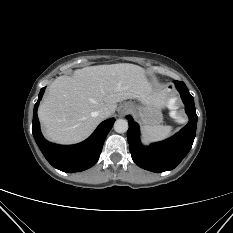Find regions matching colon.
Listing matches in <instances>:
<instances>
[{
  "label": "colon",
  "mask_w": 233,
  "mask_h": 233,
  "mask_svg": "<svg viewBox=\"0 0 233 233\" xmlns=\"http://www.w3.org/2000/svg\"><path fill=\"white\" fill-rule=\"evenodd\" d=\"M169 105H170V109H171L173 115L175 117H178V113H177L176 108H175L176 107V101L174 99H171L170 102H169Z\"/></svg>",
  "instance_id": "obj_1"
}]
</instances>
